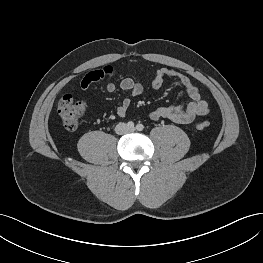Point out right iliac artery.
<instances>
[{
  "mask_svg": "<svg viewBox=\"0 0 263 263\" xmlns=\"http://www.w3.org/2000/svg\"><path fill=\"white\" fill-rule=\"evenodd\" d=\"M127 126H128V128H134V123L132 122V121H129L128 123H127Z\"/></svg>",
  "mask_w": 263,
  "mask_h": 263,
  "instance_id": "obj_1",
  "label": "right iliac artery"
}]
</instances>
